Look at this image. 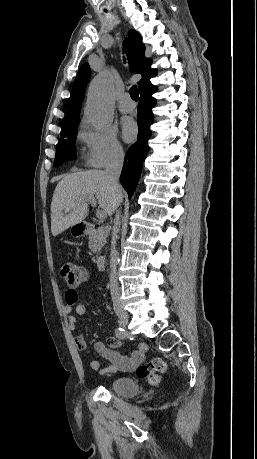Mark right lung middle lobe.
<instances>
[{
  "instance_id": "obj_1",
  "label": "right lung middle lobe",
  "mask_w": 257,
  "mask_h": 459,
  "mask_svg": "<svg viewBox=\"0 0 257 459\" xmlns=\"http://www.w3.org/2000/svg\"><path fill=\"white\" fill-rule=\"evenodd\" d=\"M77 127H72L64 132H61V137L58 143L54 166H58L64 161L75 158V140L77 136Z\"/></svg>"
}]
</instances>
